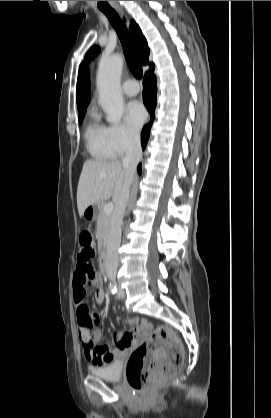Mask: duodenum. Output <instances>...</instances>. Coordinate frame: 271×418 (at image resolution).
Instances as JSON below:
<instances>
[{
  "instance_id": "duodenum-1",
  "label": "duodenum",
  "mask_w": 271,
  "mask_h": 418,
  "mask_svg": "<svg viewBox=\"0 0 271 418\" xmlns=\"http://www.w3.org/2000/svg\"><path fill=\"white\" fill-rule=\"evenodd\" d=\"M100 264H101L102 271L105 272L107 270V255H106V252L102 253Z\"/></svg>"
}]
</instances>
